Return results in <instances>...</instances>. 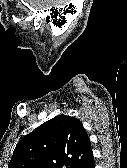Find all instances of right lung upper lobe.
<instances>
[{
	"label": "right lung upper lobe",
	"instance_id": "cb5924a9",
	"mask_svg": "<svg viewBox=\"0 0 127 168\" xmlns=\"http://www.w3.org/2000/svg\"><path fill=\"white\" fill-rule=\"evenodd\" d=\"M90 157L91 143L80 120L58 115L20 140L8 168H74Z\"/></svg>",
	"mask_w": 127,
	"mask_h": 168
}]
</instances>
